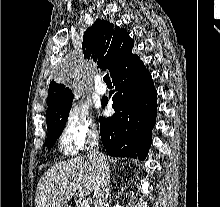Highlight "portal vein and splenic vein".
Masks as SVG:
<instances>
[{
    "instance_id": "1",
    "label": "portal vein and splenic vein",
    "mask_w": 220,
    "mask_h": 207,
    "mask_svg": "<svg viewBox=\"0 0 220 207\" xmlns=\"http://www.w3.org/2000/svg\"><path fill=\"white\" fill-rule=\"evenodd\" d=\"M79 207H90V204L87 200H82L79 202Z\"/></svg>"
}]
</instances>
